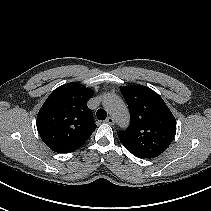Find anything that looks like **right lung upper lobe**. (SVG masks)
I'll return each instance as SVG.
<instances>
[{
    "label": "right lung upper lobe",
    "mask_w": 211,
    "mask_h": 211,
    "mask_svg": "<svg viewBox=\"0 0 211 211\" xmlns=\"http://www.w3.org/2000/svg\"><path fill=\"white\" fill-rule=\"evenodd\" d=\"M93 90L72 82L55 89L37 115V130L54 152L70 153L80 148L96 129L86 102Z\"/></svg>",
    "instance_id": "obj_1"
}]
</instances>
